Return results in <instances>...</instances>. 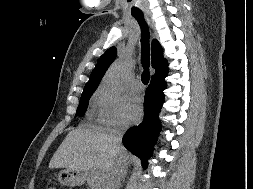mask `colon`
<instances>
[{
  "instance_id": "colon-1",
  "label": "colon",
  "mask_w": 253,
  "mask_h": 189,
  "mask_svg": "<svg viewBox=\"0 0 253 189\" xmlns=\"http://www.w3.org/2000/svg\"><path fill=\"white\" fill-rule=\"evenodd\" d=\"M48 189H55L54 187H50V188H48Z\"/></svg>"
}]
</instances>
